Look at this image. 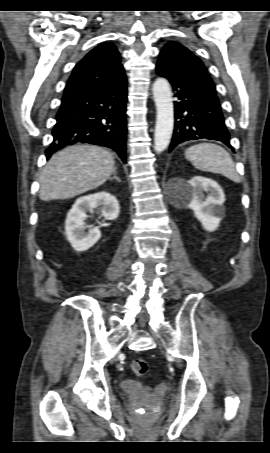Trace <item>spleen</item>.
<instances>
[{"label": "spleen", "instance_id": "spleen-1", "mask_svg": "<svg viewBox=\"0 0 270 453\" xmlns=\"http://www.w3.org/2000/svg\"><path fill=\"white\" fill-rule=\"evenodd\" d=\"M185 157L198 170L222 174L237 183L241 180L230 154L217 144L193 145L185 151Z\"/></svg>", "mask_w": 270, "mask_h": 453}]
</instances>
